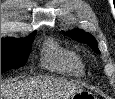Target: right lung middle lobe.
Masks as SVG:
<instances>
[{
	"label": "right lung middle lobe",
	"mask_w": 115,
	"mask_h": 99,
	"mask_svg": "<svg viewBox=\"0 0 115 99\" xmlns=\"http://www.w3.org/2000/svg\"><path fill=\"white\" fill-rule=\"evenodd\" d=\"M35 34L24 39H1V73L25 65Z\"/></svg>",
	"instance_id": "dd1d6c3e"
}]
</instances>
